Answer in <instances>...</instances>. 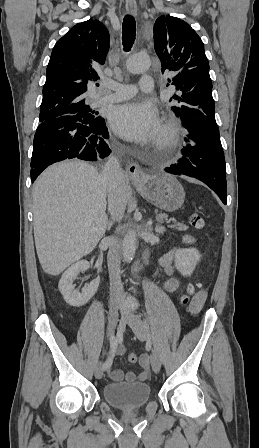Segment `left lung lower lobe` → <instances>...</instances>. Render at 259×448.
<instances>
[{"mask_svg":"<svg viewBox=\"0 0 259 448\" xmlns=\"http://www.w3.org/2000/svg\"><path fill=\"white\" fill-rule=\"evenodd\" d=\"M189 134L183 157L165 171L194 177L208 185L226 204V168L219 128L214 114L188 109L180 116Z\"/></svg>","mask_w":259,"mask_h":448,"instance_id":"1","label":"left lung lower lobe"}]
</instances>
